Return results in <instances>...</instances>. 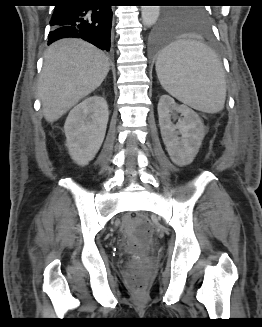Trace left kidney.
Listing matches in <instances>:
<instances>
[{
  "mask_svg": "<svg viewBox=\"0 0 262 327\" xmlns=\"http://www.w3.org/2000/svg\"><path fill=\"white\" fill-rule=\"evenodd\" d=\"M174 113L183 116L176 124L171 121ZM158 116L161 136L173 163L178 166L192 163L205 136V127L199 115L186 105H178L169 95H162L158 103ZM178 134H181V138Z\"/></svg>",
  "mask_w": 262,
  "mask_h": 327,
  "instance_id": "5707ae66",
  "label": "left kidney"
}]
</instances>
